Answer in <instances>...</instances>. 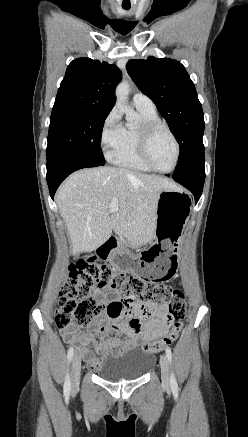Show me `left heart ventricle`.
Returning a JSON list of instances; mask_svg holds the SVG:
<instances>
[{
  "mask_svg": "<svg viewBox=\"0 0 248 437\" xmlns=\"http://www.w3.org/2000/svg\"><path fill=\"white\" fill-rule=\"evenodd\" d=\"M176 148L170 135L163 129L158 130L149 145V155L152 163L161 170L172 167Z\"/></svg>",
  "mask_w": 248,
  "mask_h": 437,
  "instance_id": "obj_1",
  "label": "left heart ventricle"
}]
</instances>
